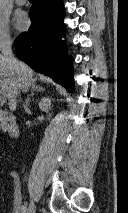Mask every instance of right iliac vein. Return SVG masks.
I'll return each instance as SVG.
<instances>
[{
    "instance_id": "obj_1",
    "label": "right iliac vein",
    "mask_w": 128,
    "mask_h": 213,
    "mask_svg": "<svg viewBox=\"0 0 128 213\" xmlns=\"http://www.w3.org/2000/svg\"><path fill=\"white\" fill-rule=\"evenodd\" d=\"M36 212V205L33 201H31L27 213H35Z\"/></svg>"
}]
</instances>
